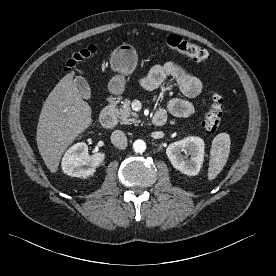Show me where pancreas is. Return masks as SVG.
Masks as SVG:
<instances>
[{
  "label": "pancreas",
  "instance_id": "obj_1",
  "mask_svg": "<svg viewBox=\"0 0 276 276\" xmlns=\"http://www.w3.org/2000/svg\"><path fill=\"white\" fill-rule=\"evenodd\" d=\"M118 118L121 124L138 123V114L133 112L130 107V100L125 99L123 105L117 110Z\"/></svg>",
  "mask_w": 276,
  "mask_h": 276
}]
</instances>
